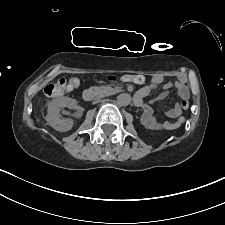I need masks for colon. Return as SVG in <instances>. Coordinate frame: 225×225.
<instances>
[{"label":"colon","mask_w":225,"mask_h":225,"mask_svg":"<svg viewBox=\"0 0 225 225\" xmlns=\"http://www.w3.org/2000/svg\"><path fill=\"white\" fill-rule=\"evenodd\" d=\"M111 80H115V77H110ZM123 82H132L136 84H143L146 82V77L141 74H126L120 77ZM80 86V80L76 77H70L68 79H60L54 83L47 85L44 89L45 95L49 97H55L63 94L65 91H73ZM180 109L187 110L190 104L185 99L179 102Z\"/></svg>","instance_id":"colon-1"}]
</instances>
